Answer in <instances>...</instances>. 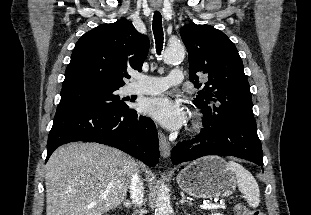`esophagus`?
<instances>
[{"instance_id": "1", "label": "esophagus", "mask_w": 311, "mask_h": 215, "mask_svg": "<svg viewBox=\"0 0 311 215\" xmlns=\"http://www.w3.org/2000/svg\"><path fill=\"white\" fill-rule=\"evenodd\" d=\"M158 137H159V147H160L161 155L163 158H167L170 155L171 145L167 137L161 130H158Z\"/></svg>"}]
</instances>
